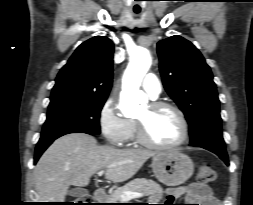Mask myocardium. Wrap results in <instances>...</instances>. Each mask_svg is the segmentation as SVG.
Returning <instances> with one entry per match:
<instances>
[{"instance_id":"myocardium-1","label":"myocardium","mask_w":253,"mask_h":205,"mask_svg":"<svg viewBox=\"0 0 253 205\" xmlns=\"http://www.w3.org/2000/svg\"><path fill=\"white\" fill-rule=\"evenodd\" d=\"M149 108L152 112H155L161 109H170L174 111L177 114L182 125V136L177 142L170 145L157 144L150 139L147 133L145 122L136 119L135 120L136 138L140 144L154 150H173L182 146L188 140L189 123H188L185 113L182 111L181 108L167 101H153L149 104Z\"/></svg>"}]
</instances>
